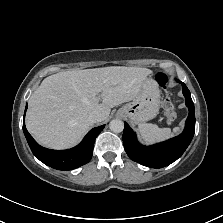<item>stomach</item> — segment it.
Segmentation results:
<instances>
[{
  "label": "stomach",
  "mask_w": 223,
  "mask_h": 223,
  "mask_svg": "<svg viewBox=\"0 0 223 223\" xmlns=\"http://www.w3.org/2000/svg\"><path fill=\"white\" fill-rule=\"evenodd\" d=\"M159 105V87L153 77L149 76L141 83L140 90L134 100L119 109L118 113L127 117L131 123L140 125L157 115Z\"/></svg>",
  "instance_id": "obj_1"
}]
</instances>
